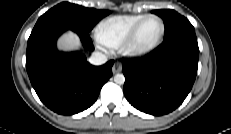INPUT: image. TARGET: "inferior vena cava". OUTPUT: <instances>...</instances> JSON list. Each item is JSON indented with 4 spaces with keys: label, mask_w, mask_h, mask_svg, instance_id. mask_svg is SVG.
I'll use <instances>...</instances> for the list:
<instances>
[{
    "label": "inferior vena cava",
    "mask_w": 231,
    "mask_h": 134,
    "mask_svg": "<svg viewBox=\"0 0 231 134\" xmlns=\"http://www.w3.org/2000/svg\"><path fill=\"white\" fill-rule=\"evenodd\" d=\"M89 62L92 65H102L107 62L106 55L102 54L101 52H94L91 57L89 58Z\"/></svg>",
    "instance_id": "obj_1"
}]
</instances>
